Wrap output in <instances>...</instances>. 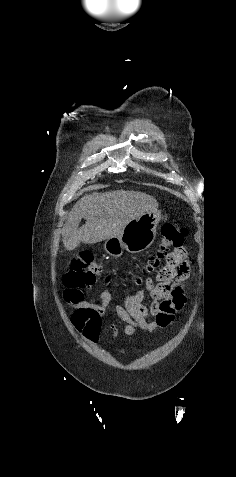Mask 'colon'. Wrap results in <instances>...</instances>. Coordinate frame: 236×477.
<instances>
[{
  "label": "colon",
  "mask_w": 236,
  "mask_h": 477,
  "mask_svg": "<svg viewBox=\"0 0 236 477\" xmlns=\"http://www.w3.org/2000/svg\"><path fill=\"white\" fill-rule=\"evenodd\" d=\"M162 243L158 253L151 256L141 267L142 273H150L158 269V283L166 292L172 289L171 282L181 277V270L186 257L183 240L186 229L175 222L165 223L161 228ZM161 262L164 265L160 267ZM103 274L101 266L96 262L91 251H82L72 262L70 269L64 275L63 284L73 301H80L83 292L91 288ZM109 281V277H105Z\"/></svg>",
  "instance_id": "colon-1"
}]
</instances>
